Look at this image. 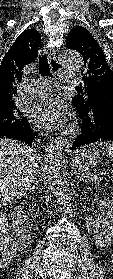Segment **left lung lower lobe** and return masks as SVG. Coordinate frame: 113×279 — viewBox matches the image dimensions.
<instances>
[{
    "instance_id": "left-lung-lower-lobe-1",
    "label": "left lung lower lobe",
    "mask_w": 113,
    "mask_h": 279,
    "mask_svg": "<svg viewBox=\"0 0 113 279\" xmlns=\"http://www.w3.org/2000/svg\"><path fill=\"white\" fill-rule=\"evenodd\" d=\"M87 104L88 101L73 100L81 119V132L72 145L74 150L89 143L113 141V99L96 101L93 106Z\"/></svg>"
}]
</instances>
